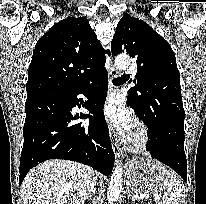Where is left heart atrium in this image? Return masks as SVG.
<instances>
[{
  "instance_id": "left-heart-atrium-1",
  "label": "left heart atrium",
  "mask_w": 206,
  "mask_h": 204,
  "mask_svg": "<svg viewBox=\"0 0 206 204\" xmlns=\"http://www.w3.org/2000/svg\"><path fill=\"white\" fill-rule=\"evenodd\" d=\"M106 118L117 128L129 131L134 127V121L120 99L111 98L104 109Z\"/></svg>"
}]
</instances>
